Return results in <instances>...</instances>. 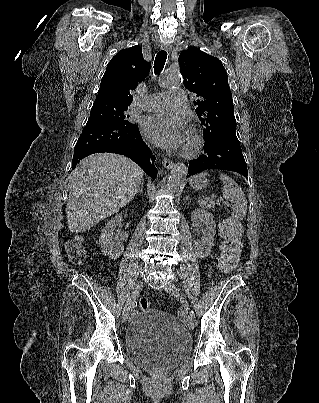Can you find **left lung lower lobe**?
Instances as JSON below:
<instances>
[{"mask_svg": "<svg viewBox=\"0 0 319 403\" xmlns=\"http://www.w3.org/2000/svg\"><path fill=\"white\" fill-rule=\"evenodd\" d=\"M209 169L235 171L247 177V165L236 129H229L213 140H206L204 154L189 163L187 177Z\"/></svg>", "mask_w": 319, "mask_h": 403, "instance_id": "obj_1", "label": "left lung lower lobe"}]
</instances>
